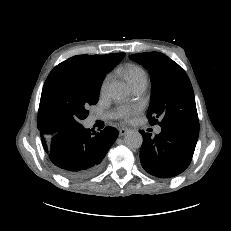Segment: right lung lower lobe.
Listing matches in <instances>:
<instances>
[{
    "mask_svg": "<svg viewBox=\"0 0 231 231\" xmlns=\"http://www.w3.org/2000/svg\"><path fill=\"white\" fill-rule=\"evenodd\" d=\"M44 150L58 172L69 179H84L98 172L115 142L118 130L101 132L76 126H54L40 131Z\"/></svg>",
    "mask_w": 231,
    "mask_h": 231,
    "instance_id": "98d812e1",
    "label": "right lung lower lobe"
}]
</instances>
